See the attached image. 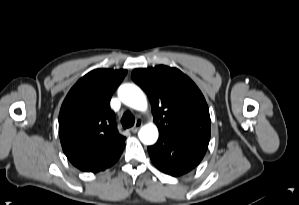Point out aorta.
Returning <instances> with one entry per match:
<instances>
[{
    "instance_id": "aorta-1",
    "label": "aorta",
    "mask_w": 299,
    "mask_h": 205,
    "mask_svg": "<svg viewBox=\"0 0 299 205\" xmlns=\"http://www.w3.org/2000/svg\"><path fill=\"white\" fill-rule=\"evenodd\" d=\"M118 95L124 104L133 109L144 111L147 108L146 97L136 85L124 84L120 86ZM138 136L142 143L152 145L158 139V129L152 123L144 125L140 129Z\"/></svg>"
}]
</instances>
